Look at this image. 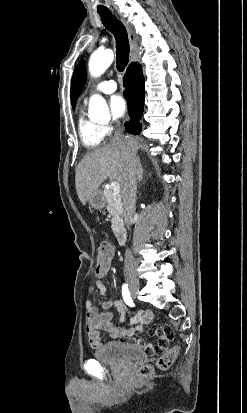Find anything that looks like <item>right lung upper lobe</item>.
Masks as SVG:
<instances>
[{"instance_id":"obj_1","label":"right lung upper lobe","mask_w":247,"mask_h":413,"mask_svg":"<svg viewBox=\"0 0 247 413\" xmlns=\"http://www.w3.org/2000/svg\"><path fill=\"white\" fill-rule=\"evenodd\" d=\"M140 70H141V65L140 64L132 63L128 67V69L126 71V74H131V73H134V72H137V71H140Z\"/></svg>"}]
</instances>
